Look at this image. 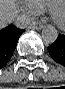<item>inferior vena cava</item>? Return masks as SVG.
<instances>
[{"label": "inferior vena cava", "mask_w": 65, "mask_h": 89, "mask_svg": "<svg viewBox=\"0 0 65 89\" xmlns=\"http://www.w3.org/2000/svg\"><path fill=\"white\" fill-rule=\"evenodd\" d=\"M31 21V17L22 14L20 16H17V18L15 19V25L18 28H26L31 24Z\"/></svg>", "instance_id": "602c4592"}]
</instances>
